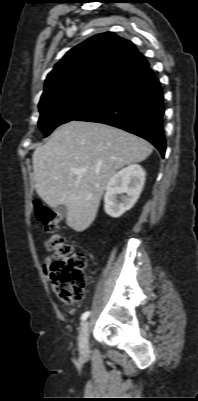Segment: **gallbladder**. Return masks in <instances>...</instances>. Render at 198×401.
Here are the masks:
<instances>
[{
	"instance_id": "obj_1",
	"label": "gallbladder",
	"mask_w": 198,
	"mask_h": 401,
	"mask_svg": "<svg viewBox=\"0 0 198 401\" xmlns=\"http://www.w3.org/2000/svg\"><path fill=\"white\" fill-rule=\"evenodd\" d=\"M54 211L61 217H65L67 215V208L62 204L54 207Z\"/></svg>"
}]
</instances>
